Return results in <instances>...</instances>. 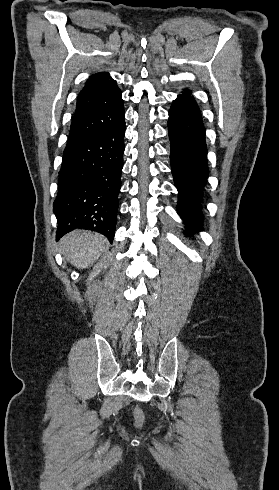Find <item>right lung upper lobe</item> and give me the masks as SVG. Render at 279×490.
Instances as JSON below:
<instances>
[{"label":"right lung upper lobe","mask_w":279,"mask_h":490,"mask_svg":"<svg viewBox=\"0 0 279 490\" xmlns=\"http://www.w3.org/2000/svg\"><path fill=\"white\" fill-rule=\"evenodd\" d=\"M123 120L120 89L107 72L94 74L78 95L67 146L98 136Z\"/></svg>","instance_id":"1"}]
</instances>
